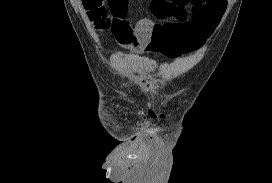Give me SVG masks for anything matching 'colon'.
<instances>
[{"mask_svg": "<svg viewBox=\"0 0 272 183\" xmlns=\"http://www.w3.org/2000/svg\"><path fill=\"white\" fill-rule=\"evenodd\" d=\"M107 1V5H106ZM127 0H82L88 17L100 30H114L125 20Z\"/></svg>", "mask_w": 272, "mask_h": 183, "instance_id": "5ec220e1", "label": "colon"}]
</instances>
